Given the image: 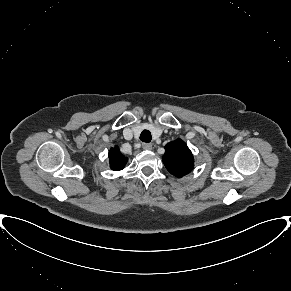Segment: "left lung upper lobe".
<instances>
[{
    "label": "left lung upper lobe",
    "mask_w": 291,
    "mask_h": 291,
    "mask_svg": "<svg viewBox=\"0 0 291 291\" xmlns=\"http://www.w3.org/2000/svg\"><path fill=\"white\" fill-rule=\"evenodd\" d=\"M162 160L167 170L178 178L190 173L194 167L193 155L187 144L181 139L165 146Z\"/></svg>",
    "instance_id": "5c2ea615"
}]
</instances>
